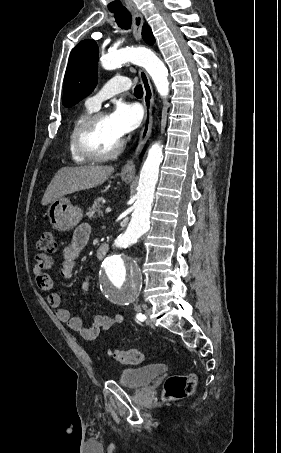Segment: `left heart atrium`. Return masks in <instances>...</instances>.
<instances>
[{
  "label": "left heart atrium",
  "mask_w": 281,
  "mask_h": 453,
  "mask_svg": "<svg viewBox=\"0 0 281 453\" xmlns=\"http://www.w3.org/2000/svg\"><path fill=\"white\" fill-rule=\"evenodd\" d=\"M115 132L122 138L135 130L142 121V111L139 105L119 101L108 116Z\"/></svg>",
  "instance_id": "left-heart-atrium-1"
}]
</instances>
